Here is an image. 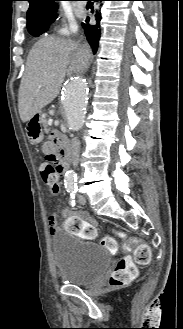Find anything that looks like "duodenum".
Returning a JSON list of instances; mask_svg holds the SVG:
<instances>
[{"label": "duodenum", "instance_id": "1", "mask_svg": "<svg viewBox=\"0 0 183 329\" xmlns=\"http://www.w3.org/2000/svg\"><path fill=\"white\" fill-rule=\"evenodd\" d=\"M60 146L58 149V155L60 159V164L63 169H65L70 161V147L63 139H59Z\"/></svg>", "mask_w": 183, "mask_h": 329}]
</instances>
